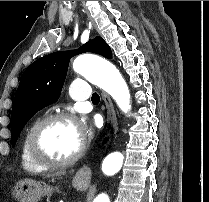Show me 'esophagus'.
Listing matches in <instances>:
<instances>
[{"mask_svg": "<svg viewBox=\"0 0 209 202\" xmlns=\"http://www.w3.org/2000/svg\"><path fill=\"white\" fill-rule=\"evenodd\" d=\"M102 99L104 101V105L106 107V122L109 126H111L113 135L115 136L118 130V124H117V118H116V112L113 106V103L111 101V98L109 95L105 92H102ZM92 176V171L90 166L84 165L78 171L76 172V177L84 180V181H90Z\"/></svg>", "mask_w": 209, "mask_h": 202, "instance_id": "obj_1", "label": "esophagus"}]
</instances>
